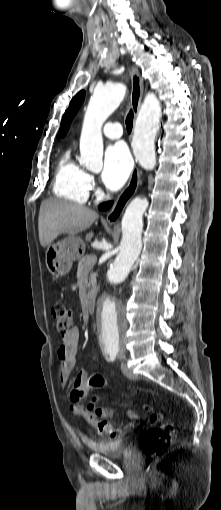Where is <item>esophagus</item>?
Returning <instances> with one entry per match:
<instances>
[{
    "label": "esophagus",
    "instance_id": "obj_1",
    "mask_svg": "<svg viewBox=\"0 0 221 510\" xmlns=\"http://www.w3.org/2000/svg\"><path fill=\"white\" fill-rule=\"evenodd\" d=\"M130 77H131V105L134 112V120H136L137 115L139 113V109L141 106L142 96H143V80L139 74V71L135 67L130 68ZM141 173L137 166H135L131 172L128 184L118 196L114 206L108 212L106 216V222L109 224H116L121 217L125 207L135 195L139 182H140Z\"/></svg>",
    "mask_w": 221,
    "mask_h": 510
}]
</instances>
